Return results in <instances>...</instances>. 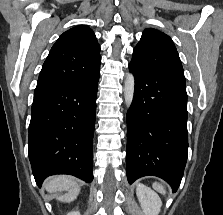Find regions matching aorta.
<instances>
[{
  "label": "aorta",
  "mask_w": 223,
  "mask_h": 215,
  "mask_svg": "<svg viewBox=\"0 0 223 215\" xmlns=\"http://www.w3.org/2000/svg\"><path fill=\"white\" fill-rule=\"evenodd\" d=\"M134 86L135 80L133 74H128L126 76L125 84H124V98L125 104L127 108H130L134 96Z\"/></svg>",
  "instance_id": "aorta-1"
}]
</instances>
